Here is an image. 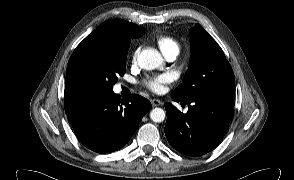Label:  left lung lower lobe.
<instances>
[{
	"mask_svg": "<svg viewBox=\"0 0 294 180\" xmlns=\"http://www.w3.org/2000/svg\"><path fill=\"white\" fill-rule=\"evenodd\" d=\"M172 99L188 105L181 113L171 103H165L167 121L164 128L169 144L180 153L201 156L212 151L224 137L233 116L234 100L217 97Z\"/></svg>",
	"mask_w": 294,
	"mask_h": 180,
	"instance_id": "obj_1",
	"label": "left lung lower lobe"
}]
</instances>
